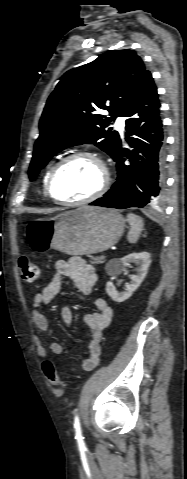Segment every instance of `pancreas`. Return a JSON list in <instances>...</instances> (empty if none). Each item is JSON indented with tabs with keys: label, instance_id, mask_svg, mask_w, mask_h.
Masks as SVG:
<instances>
[{
	"label": "pancreas",
	"instance_id": "pancreas-1",
	"mask_svg": "<svg viewBox=\"0 0 187 479\" xmlns=\"http://www.w3.org/2000/svg\"><path fill=\"white\" fill-rule=\"evenodd\" d=\"M104 262H105V260L102 259L101 257H98V256L92 257V264L97 265V264L104 263Z\"/></svg>",
	"mask_w": 187,
	"mask_h": 479
}]
</instances>
